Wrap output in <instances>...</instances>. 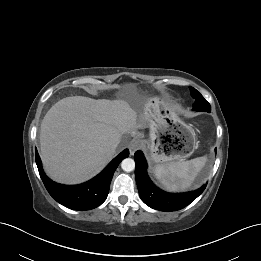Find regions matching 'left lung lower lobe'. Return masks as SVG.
<instances>
[{
	"label": "left lung lower lobe",
	"mask_w": 261,
	"mask_h": 261,
	"mask_svg": "<svg viewBox=\"0 0 261 261\" xmlns=\"http://www.w3.org/2000/svg\"><path fill=\"white\" fill-rule=\"evenodd\" d=\"M136 163L135 178L142 201L149 207L170 212L180 210L193 202L206 188L203 185L198 190L187 193H167L156 187L149 179L146 168L147 163L143 153L138 150L134 154Z\"/></svg>",
	"instance_id": "1"
}]
</instances>
